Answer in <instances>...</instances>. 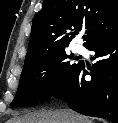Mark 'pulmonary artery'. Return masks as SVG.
<instances>
[{"label": "pulmonary artery", "mask_w": 118, "mask_h": 123, "mask_svg": "<svg viewBox=\"0 0 118 123\" xmlns=\"http://www.w3.org/2000/svg\"><path fill=\"white\" fill-rule=\"evenodd\" d=\"M74 50L76 53H79V54L84 52V48L81 45L75 46Z\"/></svg>", "instance_id": "obj_1"}]
</instances>
